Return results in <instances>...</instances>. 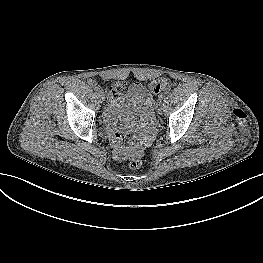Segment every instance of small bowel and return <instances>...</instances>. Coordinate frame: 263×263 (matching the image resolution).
<instances>
[{
	"label": "small bowel",
	"mask_w": 263,
	"mask_h": 263,
	"mask_svg": "<svg viewBox=\"0 0 263 263\" xmlns=\"http://www.w3.org/2000/svg\"><path fill=\"white\" fill-rule=\"evenodd\" d=\"M125 77H126V74H120V75L115 76V78H118V79H123V78H125ZM119 88L122 89V86H120ZM133 90H134V92L137 94V96H140V97H142L144 100L147 101V93H146L145 88H144L142 85H137V86H135V87L133 88ZM145 118L148 119V116L146 115ZM110 128L113 129V126L110 125ZM123 130H124L123 133H124L126 136L131 135L129 128L126 127V128H124ZM137 153H143V151H142V149H141L140 147H137V146H136V147H134V148L132 149L131 155H136Z\"/></svg>",
	"instance_id": "1"
}]
</instances>
